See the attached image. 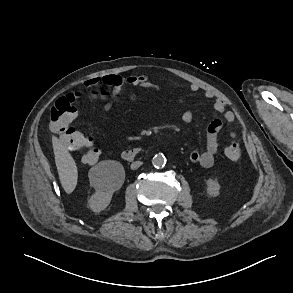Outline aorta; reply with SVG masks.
Segmentation results:
<instances>
[{
	"instance_id": "762f6f07",
	"label": "aorta",
	"mask_w": 293,
	"mask_h": 293,
	"mask_svg": "<svg viewBox=\"0 0 293 293\" xmlns=\"http://www.w3.org/2000/svg\"><path fill=\"white\" fill-rule=\"evenodd\" d=\"M152 164L155 168H162L166 164V158L162 154H156L152 159Z\"/></svg>"
}]
</instances>
